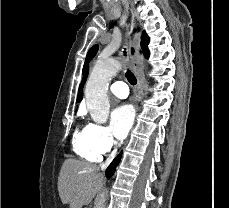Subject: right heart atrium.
<instances>
[{
  "label": "right heart atrium",
  "mask_w": 229,
  "mask_h": 208,
  "mask_svg": "<svg viewBox=\"0 0 229 208\" xmlns=\"http://www.w3.org/2000/svg\"><path fill=\"white\" fill-rule=\"evenodd\" d=\"M88 144L100 155L108 153L115 145V140L106 126L89 123L86 126Z\"/></svg>",
  "instance_id": "obj_1"
}]
</instances>
